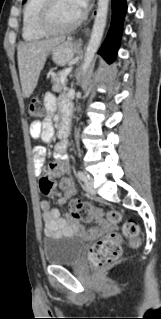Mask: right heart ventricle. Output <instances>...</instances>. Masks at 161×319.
Segmentation results:
<instances>
[{"instance_id": "obj_1", "label": "right heart ventricle", "mask_w": 161, "mask_h": 319, "mask_svg": "<svg viewBox=\"0 0 161 319\" xmlns=\"http://www.w3.org/2000/svg\"><path fill=\"white\" fill-rule=\"evenodd\" d=\"M43 0H27L23 10L22 37L26 41L42 39L46 34L37 26V17Z\"/></svg>"}]
</instances>
